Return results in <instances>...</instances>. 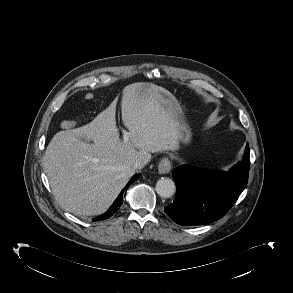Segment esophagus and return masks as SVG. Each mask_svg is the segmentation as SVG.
I'll return each instance as SVG.
<instances>
[{
	"label": "esophagus",
	"mask_w": 293,
	"mask_h": 293,
	"mask_svg": "<svg viewBox=\"0 0 293 293\" xmlns=\"http://www.w3.org/2000/svg\"><path fill=\"white\" fill-rule=\"evenodd\" d=\"M171 170V161L169 158H163L161 159L159 165H158V171L160 174H167Z\"/></svg>",
	"instance_id": "1"
}]
</instances>
